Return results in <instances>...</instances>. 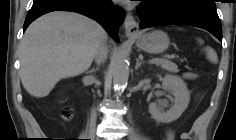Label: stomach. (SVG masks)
I'll list each match as a JSON object with an SVG mask.
<instances>
[{
    "label": "stomach",
    "mask_w": 236,
    "mask_h": 140,
    "mask_svg": "<svg viewBox=\"0 0 236 140\" xmlns=\"http://www.w3.org/2000/svg\"><path fill=\"white\" fill-rule=\"evenodd\" d=\"M136 40L137 46L151 54L164 52L170 43L169 37L163 31H152L150 33H138L132 36Z\"/></svg>",
    "instance_id": "obj_1"
}]
</instances>
